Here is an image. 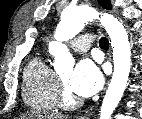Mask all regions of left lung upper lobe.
Listing matches in <instances>:
<instances>
[{"label":"left lung upper lobe","mask_w":142,"mask_h":119,"mask_svg":"<svg viewBox=\"0 0 142 119\" xmlns=\"http://www.w3.org/2000/svg\"><path fill=\"white\" fill-rule=\"evenodd\" d=\"M99 4L106 9H110L111 8V4L109 2V0H98Z\"/></svg>","instance_id":"1"}]
</instances>
